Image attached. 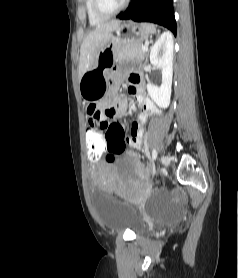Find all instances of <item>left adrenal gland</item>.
<instances>
[{
    "label": "left adrenal gland",
    "instance_id": "a2214340",
    "mask_svg": "<svg viewBox=\"0 0 238 278\" xmlns=\"http://www.w3.org/2000/svg\"><path fill=\"white\" fill-rule=\"evenodd\" d=\"M148 54H146V61H147Z\"/></svg>",
    "mask_w": 238,
    "mask_h": 278
}]
</instances>
